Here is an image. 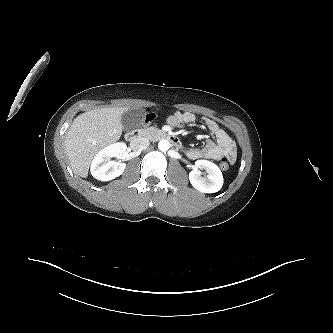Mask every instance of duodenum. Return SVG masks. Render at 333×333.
Listing matches in <instances>:
<instances>
[{"instance_id": "duodenum-1", "label": "duodenum", "mask_w": 333, "mask_h": 333, "mask_svg": "<svg viewBox=\"0 0 333 333\" xmlns=\"http://www.w3.org/2000/svg\"><path fill=\"white\" fill-rule=\"evenodd\" d=\"M153 134L156 137H158L159 139L170 142L176 148H179L181 146L180 140L171 133H168V132L162 131V130H156L153 132ZM144 135H145V133L143 131L134 130V131L128 132L125 137H126V140L129 142V144L131 145V147H133L134 149H137L138 147H140V144H141V141H142Z\"/></svg>"}]
</instances>
